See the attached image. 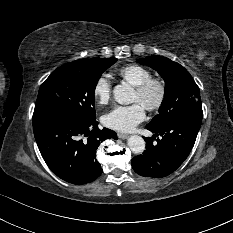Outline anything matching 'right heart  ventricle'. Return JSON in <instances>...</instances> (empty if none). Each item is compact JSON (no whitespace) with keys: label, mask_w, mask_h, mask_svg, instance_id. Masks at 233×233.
I'll use <instances>...</instances> for the list:
<instances>
[{"label":"right heart ventricle","mask_w":233,"mask_h":233,"mask_svg":"<svg viewBox=\"0 0 233 233\" xmlns=\"http://www.w3.org/2000/svg\"><path fill=\"white\" fill-rule=\"evenodd\" d=\"M119 75L133 87H138L152 77V72L141 65L130 64L118 71Z\"/></svg>","instance_id":"obj_1"}]
</instances>
